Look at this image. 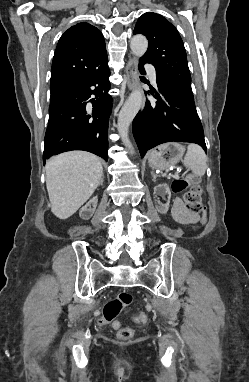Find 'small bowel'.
Returning a JSON list of instances; mask_svg holds the SVG:
<instances>
[{
    "instance_id": "1",
    "label": "small bowel",
    "mask_w": 249,
    "mask_h": 382,
    "mask_svg": "<svg viewBox=\"0 0 249 382\" xmlns=\"http://www.w3.org/2000/svg\"><path fill=\"white\" fill-rule=\"evenodd\" d=\"M173 214L175 219L181 224L192 225L198 221L197 215L188 212L180 199L174 201Z\"/></svg>"
}]
</instances>
